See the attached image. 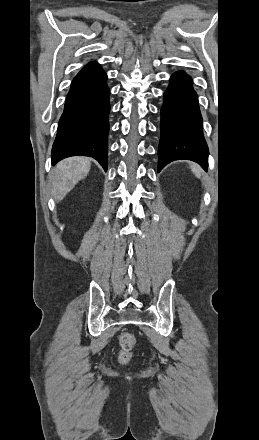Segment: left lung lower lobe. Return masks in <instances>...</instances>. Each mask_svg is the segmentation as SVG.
<instances>
[{"label":"left lung lower lobe","instance_id":"left-lung-lower-lobe-1","mask_svg":"<svg viewBox=\"0 0 259 440\" xmlns=\"http://www.w3.org/2000/svg\"><path fill=\"white\" fill-rule=\"evenodd\" d=\"M202 117L191 78L176 72L164 93L161 108L158 172L168 163L188 159L205 170L208 166V147L203 137Z\"/></svg>","mask_w":259,"mask_h":440}]
</instances>
